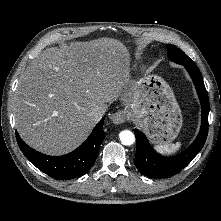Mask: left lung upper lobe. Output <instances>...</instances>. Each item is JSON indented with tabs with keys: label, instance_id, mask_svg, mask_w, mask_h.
<instances>
[{
	"label": "left lung upper lobe",
	"instance_id": "left-lung-upper-lobe-1",
	"mask_svg": "<svg viewBox=\"0 0 221 221\" xmlns=\"http://www.w3.org/2000/svg\"><path fill=\"white\" fill-rule=\"evenodd\" d=\"M168 58L178 64H190L193 61L180 49L173 45L167 44Z\"/></svg>",
	"mask_w": 221,
	"mask_h": 221
}]
</instances>
